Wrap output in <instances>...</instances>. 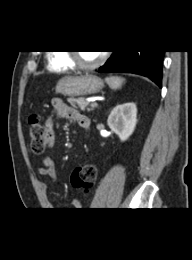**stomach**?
<instances>
[{"instance_id": "1", "label": "stomach", "mask_w": 192, "mask_h": 260, "mask_svg": "<svg viewBox=\"0 0 192 260\" xmlns=\"http://www.w3.org/2000/svg\"><path fill=\"white\" fill-rule=\"evenodd\" d=\"M104 82L97 76L85 74L61 78L56 84V92L68 97L94 95L102 90Z\"/></svg>"}]
</instances>
